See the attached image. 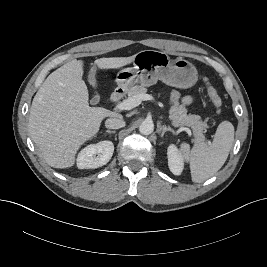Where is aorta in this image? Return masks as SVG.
I'll use <instances>...</instances> for the list:
<instances>
[{
	"instance_id": "1",
	"label": "aorta",
	"mask_w": 267,
	"mask_h": 267,
	"mask_svg": "<svg viewBox=\"0 0 267 267\" xmlns=\"http://www.w3.org/2000/svg\"><path fill=\"white\" fill-rule=\"evenodd\" d=\"M154 130V124L151 120L143 121L139 126V131L143 135H150Z\"/></svg>"
}]
</instances>
